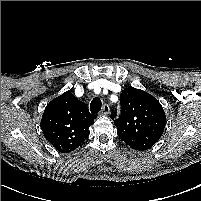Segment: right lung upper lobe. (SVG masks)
I'll return each instance as SVG.
<instances>
[{
	"label": "right lung upper lobe",
	"instance_id": "cb5924a9",
	"mask_svg": "<svg viewBox=\"0 0 201 201\" xmlns=\"http://www.w3.org/2000/svg\"><path fill=\"white\" fill-rule=\"evenodd\" d=\"M95 118L82 101L67 91L49 102L40 125L45 138L58 151L66 153L87 139Z\"/></svg>",
	"mask_w": 201,
	"mask_h": 201
}]
</instances>
